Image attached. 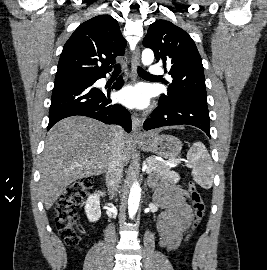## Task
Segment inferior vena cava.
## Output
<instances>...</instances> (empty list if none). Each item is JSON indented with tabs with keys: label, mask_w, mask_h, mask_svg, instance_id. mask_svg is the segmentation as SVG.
I'll return each mask as SVG.
<instances>
[{
	"label": "inferior vena cava",
	"mask_w": 267,
	"mask_h": 270,
	"mask_svg": "<svg viewBox=\"0 0 267 270\" xmlns=\"http://www.w3.org/2000/svg\"><path fill=\"white\" fill-rule=\"evenodd\" d=\"M124 135V130L119 127H114L112 154L109 160L106 171V185L109 195L113 197L117 191V186L121 182L123 165L121 158V138Z\"/></svg>",
	"instance_id": "602c4592"
}]
</instances>
